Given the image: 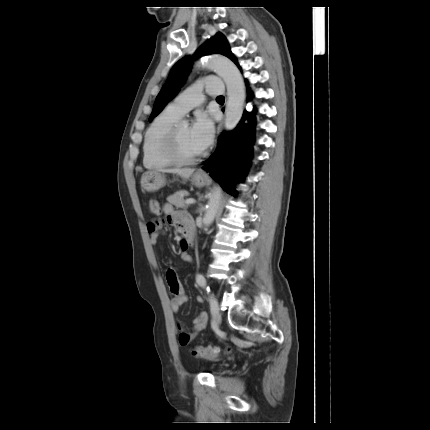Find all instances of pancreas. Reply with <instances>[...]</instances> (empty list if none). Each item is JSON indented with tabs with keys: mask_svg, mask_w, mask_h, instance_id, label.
I'll use <instances>...</instances> for the list:
<instances>
[{
	"mask_svg": "<svg viewBox=\"0 0 430 430\" xmlns=\"http://www.w3.org/2000/svg\"><path fill=\"white\" fill-rule=\"evenodd\" d=\"M189 195V192L186 190H178L173 195L168 196L167 201L175 205L179 208L185 207L184 196Z\"/></svg>",
	"mask_w": 430,
	"mask_h": 430,
	"instance_id": "cf45deb5",
	"label": "pancreas"
}]
</instances>
